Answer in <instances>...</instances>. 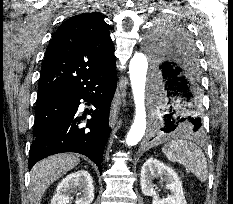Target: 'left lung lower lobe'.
I'll use <instances>...</instances> for the list:
<instances>
[{"label":"left lung lower lobe","instance_id":"1","mask_svg":"<svg viewBox=\"0 0 233 204\" xmlns=\"http://www.w3.org/2000/svg\"><path fill=\"white\" fill-rule=\"evenodd\" d=\"M153 89L158 96L152 126L156 135L176 131L201 133L199 72L190 57L169 50L166 59L154 67Z\"/></svg>","mask_w":233,"mask_h":204}]
</instances>
